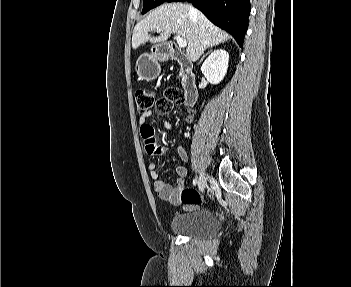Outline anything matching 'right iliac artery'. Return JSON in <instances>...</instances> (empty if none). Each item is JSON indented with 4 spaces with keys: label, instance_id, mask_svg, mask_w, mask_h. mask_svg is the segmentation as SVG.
<instances>
[{
    "label": "right iliac artery",
    "instance_id": "82829eb1",
    "mask_svg": "<svg viewBox=\"0 0 351 287\" xmlns=\"http://www.w3.org/2000/svg\"><path fill=\"white\" fill-rule=\"evenodd\" d=\"M197 184V178H195L194 180H193V185H196Z\"/></svg>",
    "mask_w": 351,
    "mask_h": 287
}]
</instances>
